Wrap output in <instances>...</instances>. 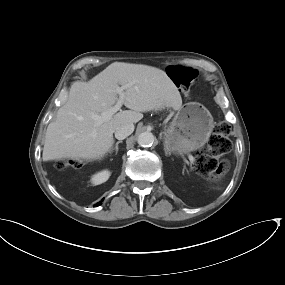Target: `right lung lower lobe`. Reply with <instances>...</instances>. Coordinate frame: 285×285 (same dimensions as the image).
Masks as SVG:
<instances>
[{
    "label": "right lung lower lobe",
    "mask_w": 285,
    "mask_h": 285,
    "mask_svg": "<svg viewBox=\"0 0 285 285\" xmlns=\"http://www.w3.org/2000/svg\"><path fill=\"white\" fill-rule=\"evenodd\" d=\"M101 204V202L97 203L96 206H99Z\"/></svg>",
    "instance_id": "right-lung-lower-lobe-1"
}]
</instances>
